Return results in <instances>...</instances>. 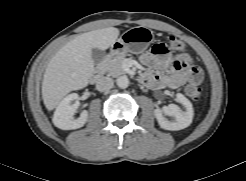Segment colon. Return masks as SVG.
Returning <instances> with one entry per match:
<instances>
[{"label": "colon", "mask_w": 246, "mask_h": 181, "mask_svg": "<svg viewBox=\"0 0 246 181\" xmlns=\"http://www.w3.org/2000/svg\"><path fill=\"white\" fill-rule=\"evenodd\" d=\"M168 50L184 53L186 52L187 47L184 42L176 38H170V41L167 45L156 44L152 47V52L157 55L164 54ZM190 70H191L190 83L186 85L185 93L191 98L198 100L202 94L201 89L199 87V84L203 78L202 72L197 66H192Z\"/></svg>", "instance_id": "5ec220e1"}]
</instances>
